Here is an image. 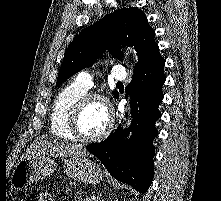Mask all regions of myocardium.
Here are the masks:
<instances>
[{
  "label": "myocardium",
  "instance_id": "obj_1",
  "mask_svg": "<svg viewBox=\"0 0 221 201\" xmlns=\"http://www.w3.org/2000/svg\"><path fill=\"white\" fill-rule=\"evenodd\" d=\"M91 101H100L104 104L107 110L108 114V124L105 127L103 131H101L99 134L94 136H86L83 135L79 128V122L81 115L87 106L88 103ZM115 124V116H114V110L111 101L109 98L103 94L97 93V92H86L73 106L70 119H69V130L74 137V139L82 142H95L102 138H104L106 135L110 133V131L113 129Z\"/></svg>",
  "mask_w": 221,
  "mask_h": 201
}]
</instances>
